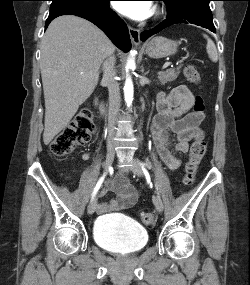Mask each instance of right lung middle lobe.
Returning a JSON list of instances; mask_svg holds the SVG:
<instances>
[{"label": "right lung middle lobe", "instance_id": "1", "mask_svg": "<svg viewBox=\"0 0 250 285\" xmlns=\"http://www.w3.org/2000/svg\"><path fill=\"white\" fill-rule=\"evenodd\" d=\"M50 14L71 7H88L97 5L102 0H51Z\"/></svg>", "mask_w": 250, "mask_h": 285}]
</instances>
